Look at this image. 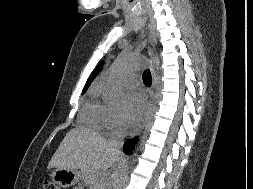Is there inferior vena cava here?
<instances>
[{"mask_svg": "<svg viewBox=\"0 0 253 189\" xmlns=\"http://www.w3.org/2000/svg\"><path fill=\"white\" fill-rule=\"evenodd\" d=\"M121 144H122V137L121 136H119L116 140H112L110 142V145L112 146L113 150L116 152H120ZM100 188H102V187H100Z\"/></svg>", "mask_w": 253, "mask_h": 189, "instance_id": "obj_1", "label": "inferior vena cava"}]
</instances>
